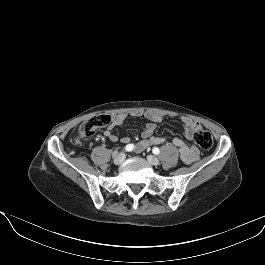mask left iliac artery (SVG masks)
<instances>
[{"instance_id":"left-iliac-artery-1","label":"left iliac artery","mask_w":265,"mask_h":265,"mask_svg":"<svg viewBox=\"0 0 265 265\" xmlns=\"http://www.w3.org/2000/svg\"><path fill=\"white\" fill-rule=\"evenodd\" d=\"M152 152L157 155L160 153V150H159V148L155 147V148H153Z\"/></svg>"}]
</instances>
